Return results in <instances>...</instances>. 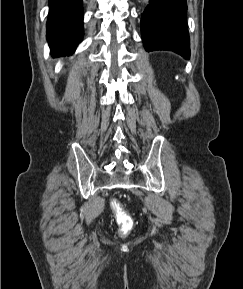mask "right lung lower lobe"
I'll list each match as a JSON object with an SVG mask.
<instances>
[{
	"mask_svg": "<svg viewBox=\"0 0 243 289\" xmlns=\"http://www.w3.org/2000/svg\"><path fill=\"white\" fill-rule=\"evenodd\" d=\"M47 40L53 57L73 53L83 37L82 0H49Z\"/></svg>",
	"mask_w": 243,
	"mask_h": 289,
	"instance_id": "obj_1",
	"label": "right lung lower lobe"
}]
</instances>
